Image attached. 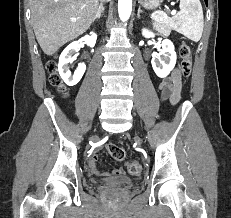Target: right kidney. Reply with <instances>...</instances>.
<instances>
[{
	"mask_svg": "<svg viewBox=\"0 0 231 218\" xmlns=\"http://www.w3.org/2000/svg\"><path fill=\"white\" fill-rule=\"evenodd\" d=\"M96 39L97 35L95 33H91L90 35L84 36L79 41H74L69 44L61 53L59 57L58 71L61 78L68 86L76 85L86 70V65L84 63H80L73 74L70 71V64L73 60V54L79 51L80 48L79 43L83 42L88 46L93 47L96 43Z\"/></svg>",
	"mask_w": 231,
	"mask_h": 218,
	"instance_id": "ca27d5eb",
	"label": "right kidney"
}]
</instances>
